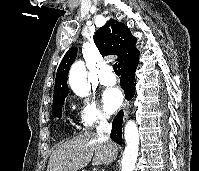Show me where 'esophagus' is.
I'll use <instances>...</instances> for the list:
<instances>
[{
    "label": "esophagus",
    "instance_id": "obj_1",
    "mask_svg": "<svg viewBox=\"0 0 199 171\" xmlns=\"http://www.w3.org/2000/svg\"><path fill=\"white\" fill-rule=\"evenodd\" d=\"M129 108H130V102H126L124 105V115L127 116L128 112H129Z\"/></svg>",
    "mask_w": 199,
    "mask_h": 171
}]
</instances>
